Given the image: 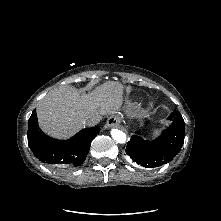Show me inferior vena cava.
<instances>
[{"label":"inferior vena cava","mask_w":221,"mask_h":221,"mask_svg":"<svg viewBox=\"0 0 221 221\" xmlns=\"http://www.w3.org/2000/svg\"><path fill=\"white\" fill-rule=\"evenodd\" d=\"M99 122L98 117H88L84 120L83 124L87 126H95Z\"/></svg>","instance_id":"obj_1"}]
</instances>
